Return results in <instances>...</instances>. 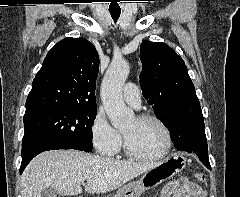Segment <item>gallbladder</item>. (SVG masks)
<instances>
[{
	"label": "gallbladder",
	"instance_id": "1",
	"mask_svg": "<svg viewBox=\"0 0 240 197\" xmlns=\"http://www.w3.org/2000/svg\"><path fill=\"white\" fill-rule=\"evenodd\" d=\"M40 197H57V192L52 188H44Z\"/></svg>",
	"mask_w": 240,
	"mask_h": 197
}]
</instances>
